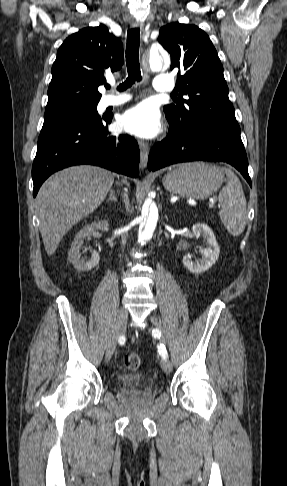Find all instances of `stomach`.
Wrapping results in <instances>:
<instances>
[{
  "mask_svg": "<svg viewBox=\"0 0 287 486\" xmlns=\"http://www.w3.org/2000/svg\"><path fill=\"white\" fill-rule=\"evenodd\" d=\"M224 174L221 168L203 162L178 165L167 173L162 183L173 194L193 199H204L222 185Z\"/></svg>",
  "mask_w": 287,
  "mask_h": 486,
  "instance_id": "0dacf381",
  "label": "stomach"
}]
</instances>
